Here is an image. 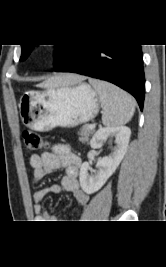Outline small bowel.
<instances>
[{
  "label": "small bowel",
  "mask_w": 166,
  "mask_h": 267,
  "mask_svg": "<svg viewBox=\"0 0 166 267\" xmlns=\"http://www.w3.org/2000/svg\"><path fill=\"white\" fill-rule=\"evenodd\" d=\"M30 165L32 167V178L35 182H40L47 174L64 170V176L60 184L37 190L33 194L35 218L39 222H44V220L58 222L56 221L58 220L56 216H51L43 211L41 201L48 193L69 192L74 195L80 206L87 205L89 196L81 189L78 180L81 160L67 146L56 144L51 151L32 155L30 157Z\"/></svg>",
  "instance_id": "small-bowel-1"
}]
</instances>
